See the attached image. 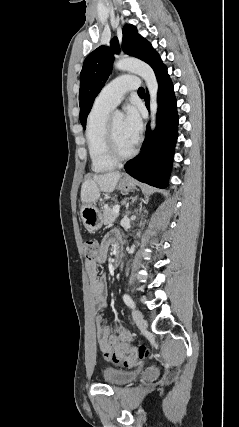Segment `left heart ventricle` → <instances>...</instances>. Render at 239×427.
Here are the masks:
<instances>
[{
	"mask_svg": "<svg viewBox=\"0 0 239 427\" xmlns=\"http://www.w3.org/2000/svg\"><path fill=\"white\" fill-rule=\"evenodd\" d=\"M112 127L115 136V141L118 150L121 153L129 152L135 144H133L130 139L127 137L124 128H123V118L121 116H116L112 118Z\"/></svg>",
	"mask_w": 239,
	"mask_h": 427,
	"instance_id": "obj_1",
	"label": "left heart ventricle"
}]
</instances>
